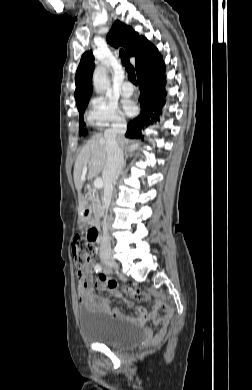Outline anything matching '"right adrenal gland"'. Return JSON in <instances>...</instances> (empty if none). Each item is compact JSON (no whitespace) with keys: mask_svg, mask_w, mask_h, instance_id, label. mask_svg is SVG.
Here are the masks:
<instances>
[{"mask_svg":"<svg viewBox=\"0 0 252 390\" xmlns=\"http://www.w3.org/2000/svg\"><path fill=\"white\" fill-rule=\"evenodd\" d=\"M128 157H126V159H127ZM124 165H126V160H125V163H124Z\"/></svg>","mask_w":252,"mask_h":390,"instance_id":"2a0ac1e0","label":"right adrenal gland"}]
</instances>
